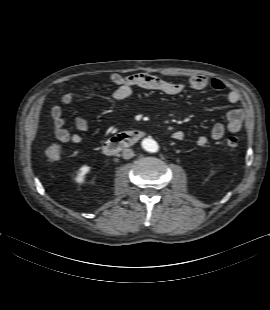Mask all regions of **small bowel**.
I'll list each match as a JSON object with an SVG mask.
<instances>
[{"mask_svg": "<svg viewBox=\"0 0 270 310\" xmlns=\"http://www.w3.org/2000/svg\"><path fill=\"white\" fill-rule=\"evenodd\" d=\"M109 80L115 85V90L112 93L116 101H122L128 98L134 88H142L146 90H155L167 95H177L184 91L185 85L182 83L170 82L161 79L157 76L147 73H135L129 75H121L119 73H112L109 75ZM189 85L194 90H203L208 86L218 92L227 89L226 84L219 80L209 79L204 75H195L190 81ZM73 92L69 91L62 97V104L65 106L71 105L73 101ZM240 94L237 90H229L227 93V100L231 104H238L240 102ZM51 116L53 119V132L57 140L61 142H72L75 144H83L84 139L78 133H72L65 128V120L63 117L62 107L59 104L51 108ZM246 112L241 108L231 109L227 113V124L216 123L210 130V136L214 140L221 139L226 130L231 133H237L242 129L243 121ZM74 125L78 130L84 131L88 128V122L85 118L77 116L74 119ZM172 138L181 141L185 138V134L181 130H176L172 133ZM208 139L206 136L201 135L197 139V145H206Z\"/></svg>", "mask_w": 270, "mask_h": 310, "instance_id": "obj_1", "label": "small bowel"}]
</instances>
